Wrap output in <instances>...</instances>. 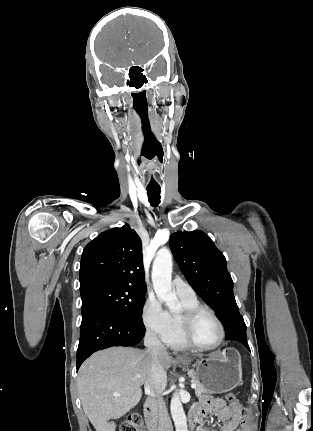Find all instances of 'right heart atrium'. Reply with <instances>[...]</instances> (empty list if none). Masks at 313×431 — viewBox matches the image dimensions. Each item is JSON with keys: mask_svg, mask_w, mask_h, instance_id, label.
I'll list each match as a JSON object with an SVG mask.
<instances>
[{"mask_svg": "<svg viewBox=\"0 0 313 431\" xmlns=\"http://www.w3.org/2000/svg\"><path fill=\"white\" fill-rule=\"evenodd\" d=\"M142 321L145 328L152 334L164 339L170 331L169 313L161 301L155 296H149L142 308Z\"/></svg>", "mask_w": 313, "mask_h": 431, "instance_id": "d8ad5b80", "label": "right heart atrium"}]
</instances>
